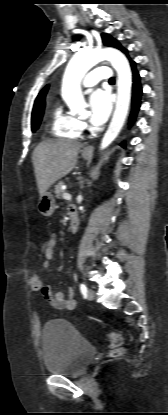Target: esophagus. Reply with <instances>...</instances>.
<instances>
[{
  "label": "esophagus",
  "mask_w": 168,
  "mask_h": 415,
  "mask_svg": "<svg viewBox=\"0 0 168 415\" xmlns=\"http://www.w3.org/2000/svg\"><path fill=\"white\" fill-rule=\"evenodd\" d=\"M80 22H81V24H84V21L83 20H80ZM85 150L86 151H91V148L87 147V148H85Z\"/></svg>",
  "instance_id": "34e87169"
}]
</instances>
